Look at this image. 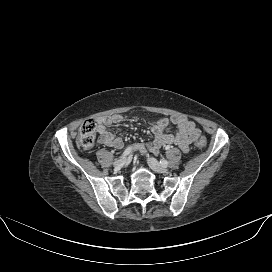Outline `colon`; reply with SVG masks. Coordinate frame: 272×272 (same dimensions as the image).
<instances>
[{"label":"colon","instance_id":"1","mask_svg":"<svg viewBox=\"0 0 272 272\" xmlns=\"http://www.w3.org/2000/svg\"><path fill=\"white\" fill-rule=\"evenodd\" d=\"M97 138V125L93 119L85 120L77 136V143L80 147L84 149L92 148L96 143ZM196 146L199 148H204L206 146L205 138H200L196 142Z\"/></svg>","mask_w":272,"mask_h":272}]
</instances>
